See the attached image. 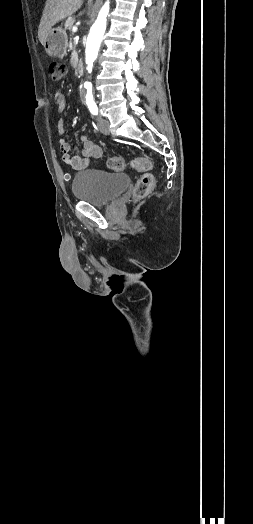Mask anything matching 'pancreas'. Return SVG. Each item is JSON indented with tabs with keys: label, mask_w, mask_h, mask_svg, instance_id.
Here are the masks:
<instances>
[{
	"label": "pancreas",
	"mask_w": 253,
	"mask_h": 524,
	"mask_svg": "<svg viewBox=\"0 0 253 524\" xmlns=\"http://www.w3.org/2000/svg\"><path fill=\"white\" fill-rule=\"evenodd\" d=\"M75 22V17H68L65 21V28L71 30Z\"/></svg>",
	"instance_id": "pancreas-1"
}]
</instances>
